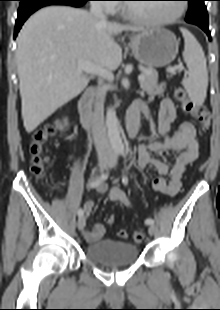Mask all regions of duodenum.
Here are the masks:
<instances>
[{
  "label": "duodenum",
  "instance_id": "obj_1",
  "mask_svg": "<svg viewBox=\"0 0 220 310\" xmlns=\"http://www.w3.org/2000/svg\"><path fill=\"white\" fill-rule=\"evenodd\" d=\"M96 91L94 88H88L82 95L78 103V110L80 113V121L82 126L91 131L96 124V120L92 111V103ZM139 113L135 110H129L126 123V132L129 138L136 137L138 132Z\"/></svg>",
  "mask_w": 220,
  "mask_h": 310
}]
</instances>
